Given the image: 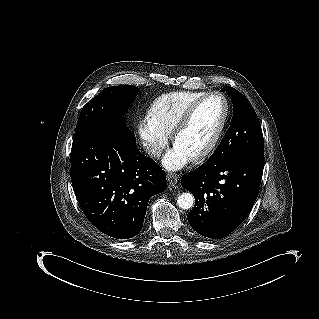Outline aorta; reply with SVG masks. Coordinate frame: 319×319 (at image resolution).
I'll return each mask as SVG.
<instances>
[{
    "label": "aorta",
    "mask_w": 319,
    "mask_h": 319,
    "mask_svg": "<svg viewBox=\"0 0 319 319\" xmlns=\"http://www.w3.org/2000/svg\"><path fill=\"white\" fill-rule=\"evenodd\" d=\"M193 203L194 197L191 193H182L177 199V205L181 209H190Z\"/></svg>",
    "instance_id": "aorta-1"
}]
</instances>
